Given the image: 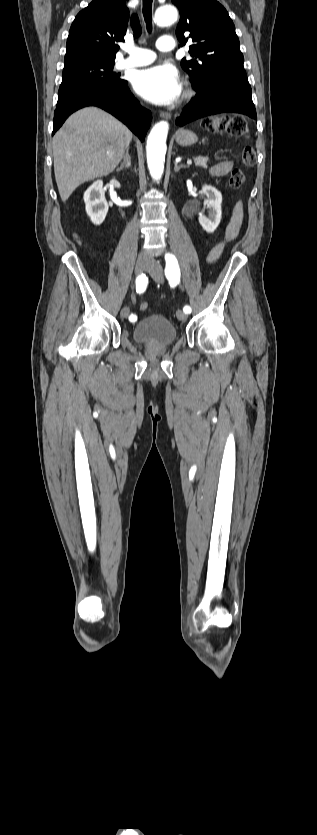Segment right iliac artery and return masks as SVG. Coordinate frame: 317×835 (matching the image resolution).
Here are the masks:
<instances>
[{"instance_id": "right-iliac-artery-1", "label": "right iliac artery", "mask_w": 317, "mask_h": 835, "mask_svg": "<svg viewBox=\"0 0 317 835\" xmlns=\"http://www.w3.org/2000/svg\"><path fill=\"white\" fill-rule=\"evenodd\" d=\"M147 283H148L147 277L144 274L139 275L136 278V292L139 293V294L143 293L146 290ZM135 319H136V317L134 315L129 316V320L133 321Z\"/></svg>"}]
</instances>
